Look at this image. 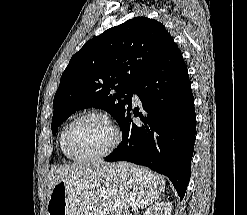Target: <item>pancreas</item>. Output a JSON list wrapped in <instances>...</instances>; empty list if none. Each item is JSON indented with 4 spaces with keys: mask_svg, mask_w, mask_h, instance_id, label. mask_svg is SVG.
<instances>
[{
    "mask_svg": "<svg viewBox=\"0 0 247 215\" xmlns=\"http://www.w3.org/2000/svg\"><path fill=\"white\" fill-rule=\"evenodd\" d=\"M112 215H129V213L127 211H117L114 212Z\"/></svg>",
    "mask_w": 247,
    "mask_h": 215,
    "instance_id": "obj_1",
    "label": "pancreas"
}]
</instances>
